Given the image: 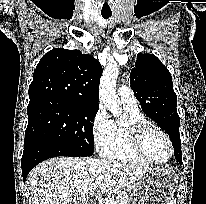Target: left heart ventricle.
I'll return each mask as SVG.
<instances>
[{
	"label": "left heart ventricle",
	"mask_w": 206,
	"mask_h": 204,
	"mask_svg": "<svg viewBox=\"0 0 206 204\" xmlns=\"http://www.w3.org/2000/svg\"><path fill=\"white\" fill-rule=\"evenodd\" d=\"M148 155L155 161H165L170 153L168 144L161 134L150 131L144 141Z\"/></svg>",
	"instance_id": "obj_1"
}]
</instances>
